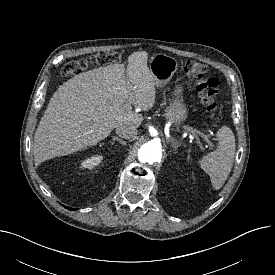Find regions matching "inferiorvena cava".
I'll use <instances>...</instances> for the list:
<instances>
[{
	"mask_svg": "<svg viewBox=\"0 0 275 275\" xmlns=\"http://www.w3.org/2000/svg\"><path fill=\"white\" fill-rule=\"evenodd\" d=\"M137 129L134 126L121 125L116 128V133L119 137L125 139L134 138L137 135Z\"/></svg>",
	"mask_w": 275,
	"mask_h": 275,
	"instance_id": "inferior-vena-cava-1",
	"label": "inferior vena cava"
}]
</instances>
